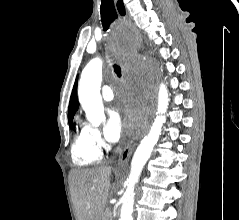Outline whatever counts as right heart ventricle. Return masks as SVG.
<instances>
[{
  "instance_id": "e07e8e85",
  "label": "right heart ventricle",
  "mask_w": 239,
  "mask_h": 220,
  "mask_svg": "<svg viewBox=\"0 0 239 220\" xmlns=\"http://www.w3.org/2000/svg\"><path fill=\"white\" fill-rule=\"evenodd\" d=\"M72 162L77 166H90L101 160V152L92 144L88 125L79 123L71 148Z\"/></svg>"
}]
</instances>
